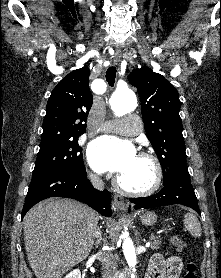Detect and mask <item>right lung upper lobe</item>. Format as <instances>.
<instances>
[{"instance_id":"obj_1","label":"right lung upper lobe","mask_w":221,"mask_h":278,"mask_svg":"<svg viewBox=\"0 0 221 278\" xmlns=\"http://www.w3.org/2000/svg\"><path fill=\"white\" fill-rule=\"evenodd\" d=\"M89 75L88 68L74 70L53 89L46 107L41 142L85 132L93 102Z\"/></svg>"}]
</instances>
